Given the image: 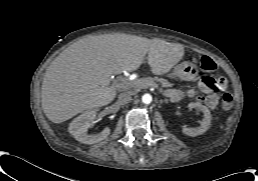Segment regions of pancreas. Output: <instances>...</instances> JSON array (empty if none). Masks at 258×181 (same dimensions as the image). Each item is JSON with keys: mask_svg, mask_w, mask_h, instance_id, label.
I'll return each instance as SVG.
<instances>
[{"mask_svg": "<svg viewBox=\"0 0 258 181\" xmlns=\"http://www.w3.org/2000/svg\"><path fill=\"white\" fill-rule=\"evenodd\" d=\"M156 83H158L161 87H164V88L173 86V84L166 79L147 77V78L136 79L135 81H133V86H130L129 88L137 89L138 87L135 84H140V86L147 87V86H155L157 85Z\"/></svg>", "mask_w": 258, "mask_h": 181, "instance_id": "pancreas-1", "label": "pancreas"}]
</instances>
